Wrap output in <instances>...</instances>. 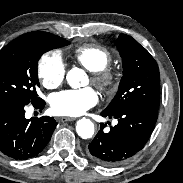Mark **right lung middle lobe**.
<instances>
[{"label": "right lung middle lobe", "mask_w": 183, "mask_h": 183, "mask_svg": "<svg viewBox=\"0 0 183 183\" xmlns=\"http://www.w3.org/2000/svg\"><path fill=\"white\" fill-rule=\"evenodd\" d=\"M69 45L65 39L39 35L17 38L0 51V101L39 98L38 60L51 49Z\"/></svg>", "instance_id": "1"}]
</instances>
